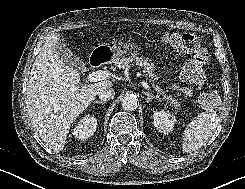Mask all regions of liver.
<instances>
[{
    "label": "liver",
    "mask_w": 245,
    "mask_h": 189,
    "mask_svg": "<svg viewBox=\"0 0 245 189\" xmlns=\"http://www.w3.org/2000/svg\"><path fill=\"white\" fill-rule=\"evenodd\" d=\"M58 33L51 34L37 55L27 84L29 117L41 139L55 152L66 143L70 125L90 105L110 80L79 84L80 74L60 58ZM63 44V43H62Z\"/></svg>",
    "instance_id": "1"
}]
</instances>
